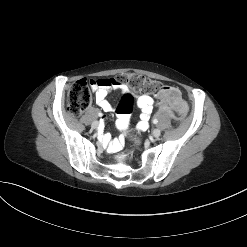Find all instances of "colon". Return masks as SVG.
Listing matches in <instances>:
<instances>
[{
    "instance_id": "5ec220e1",
    "label": "colon",
    "mask_w": 247,
    "mask_h": 247,
    "mask_svg": "<svg viewBox=\"0 0 247 247\" xmlns=\"http://www.w3.org/2000/svg\"><path fill=\"white\" fill-rule=\"evenodd\" d=\"M113 80L136 92L160 94L163 106L175 109L178 115L185 112V104L176 88L166 87L159 81L139 74H123ZM95 83L98 81L81 79L71 86L67 95V107L72 115L79 116L88 108L91 103V89ZM133 103V94L126 92L117 108L118 125L122 130L127 128Z\"/></svg>"
}]
</instances>
